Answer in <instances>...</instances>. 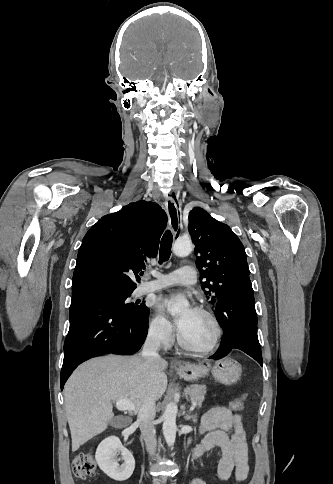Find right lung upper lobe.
Masks as SVG:
<instances>
[{
	"mask_svg": "<svg viewBox=\"0 0 333 484\" xmlns=\"http://www.w3.org/2000/svg\"><path fill=\"white\" fill-rule=\"evenodd\" d=\"M167 216L156 203L137 201L103 216L83 238L72 295L83 291L132 292L134 279L158 253Z\"/></svg>",
	"mask_w": 333,
	"mask_h": 484,
	"instance_id": "cb5924a9",
	"label": "right lung upper lobe"
}]
</instances>
